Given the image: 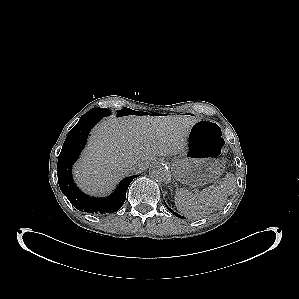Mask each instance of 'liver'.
Wrapping results in <instances>:
<instances>
[{
    "instance_id": "obj_1",
    "label": "liver",
    "mask_w": 299,
    "mask_h": 299,
    "mask_svg": "<svg viewBox=\"0 0 299 299\" xmlns=\"http://www.w3.org/2000/svg\"><path fill=\"white\" fill-rule=\"evenodd\" d=\"M196 121L185 115L103 120L93 129L88 146L74 167V178L88 194H107L123 177L142 171L156 156L182 152Z\"/></svg>"
}]
</instances>
